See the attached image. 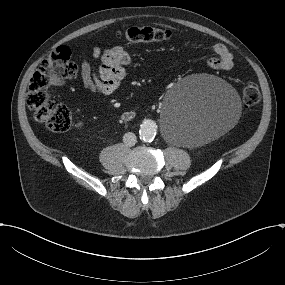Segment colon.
Listing matches in <instances>:
<instances>
[{
    "mask_svg": "<svg viewBox=\"0 0 285 285\" xmlns=\"http://www.w3.org/2000/svg\"><path fill=\"white\" fill-rule=\"evenodd\" d=\"M171 31L166 28L151 26H132L119 34L130 44L161 42L170 38ZM77 73V66L71 61L69 48L61 46L53 50L33 74L27 93V104L33 111L36 121L43 123L54 132H64L73 125L71 111L63 104L51 100L48 88L51 84H60ZM243 101L246 106H255L260 102L261 92L255 83H248L243 88Z\"/></svg>",
    "mask_w": 285,
    "mask_h": 285,
    "instance_id": "obj_1",
    "label": "colon"
}]
</instances>
